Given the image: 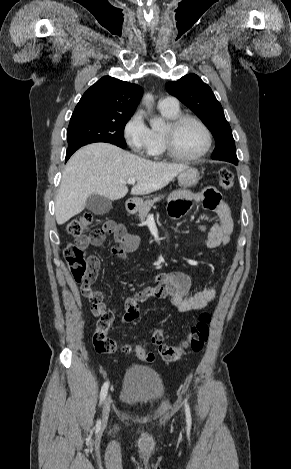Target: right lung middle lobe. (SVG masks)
Wrapping results in <instances>:
<instances>
[{
  "label": "right lung middle lobe",
  "instance_id": "right-lung-middle-lobe-1",
  "mask_svg": "<svg viewBox=\"0 0 291 469\" xmlns=\"http://www.w3.org/2000/svg\"><path fill=\"white\" fill-rule=\"evenodd\" d=\"M131 115L73 113L67 129L68 148L107 142L126 148L124 128Z\"/></svg>",
  "mask_w": 291,
  "mask_h": 469
}]
</instances>
